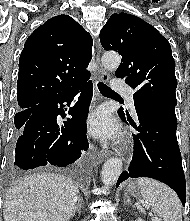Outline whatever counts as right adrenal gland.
Returning <instances> with one entry per match:
<instances>
[{
	"label": "right adrenal gland",
	"mask_w": 190,
	"mask_h": 221,
	"mask_svg": "<svg viewBox=\"0 0 190 221\" xmlns=\"http://www.w3.org/2000/svg\"><path fill=\"white\" fill-rule=\"evenodd\" d=\"M81 208H82V198L79 196V197H78V200H77V202H76V205H75V207H74V209H73V212H72V214H71V218H73L74 215H75V213H76V211H77V210L80 211Z\"/></svg>",
	"instance_id": "right-adrenal-gland-1"
}]
</instances>
